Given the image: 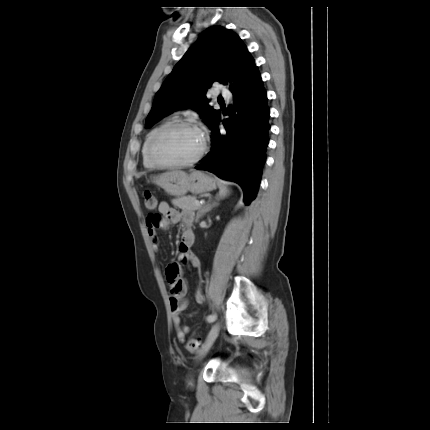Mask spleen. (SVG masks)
I'll return each mask as SVG.
<instances>
[{
  "label": "spleen",
  "mask_w": 430,
  "mask_h": 430,
  "mask_svg": "<svg viewBox=\"0 0 430 430\" xmlns=\"http://www.w3.org/2000/svg\"><path fill=\"white\" fill-rule=\"evenodd\" d=\"M215 180L217 181L218 185L220 186V196H226L228 194V189L225 187V183L223 180L215 178Z\"/></svg>",
  "instance_id": "obj_1"
}]
</instances>
